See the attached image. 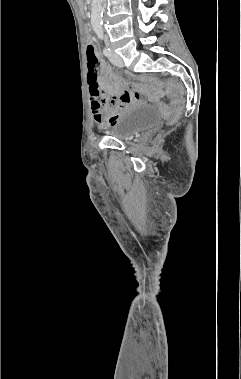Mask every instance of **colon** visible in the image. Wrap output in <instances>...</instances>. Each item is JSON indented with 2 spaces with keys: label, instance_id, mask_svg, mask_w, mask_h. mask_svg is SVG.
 <instances>
[{
  "label": "colon",
  "instance_id": "1",
  "mask_svg": "<svg viewBox=\"0 0 241 379\" xmlns=\"http://www.w3.org/2000/svg\"><path fill=\"white\" fill-rule=\"evenodd\" d=\"M86 59H87V69H88V82L89 88L95 89L97 85V75L99 70V60L96 55L94 46L89 43L86 47ZM158 110H163L164 114L168 117L170 122L175 121L183 110V100L176 99L172 102L171 106L168 107L167 103H158Z\"/></svg>",
  "mask_w": 241,
  "mask_h": 379
}]
</instances>
